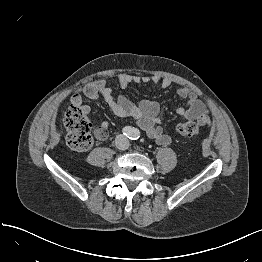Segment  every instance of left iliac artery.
Returning <instances> with one entry per match:
<instances>
[{"instance_id":"obj_1","label":"left iliac artery","mask_w":262,"mask_h":262,"mask_svg":"<svg viewBox=\"0 0 262 262\" xmlns=\"http://www.w3.org/2000/svg\"><path fill=\"white\" fill-rule=\"evenodd\" d=\"M139 137H140V132H139V130H138V129H133L132 139H133V140H137V139H139Z\"/></svg>"}]
</instances>
